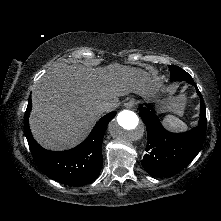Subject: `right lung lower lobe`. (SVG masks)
I'll return each mask as SVG.
<instances>
[{
    "label": "right lung lower lobe",
    "instance_id": "1",
    "mask_svg": "<svg viewBox=\"0 0 221 221\" xmlns=\"http://www.w3.org/2000/svg\"><path fill=\"white\" fill-rule=\"evenodd\" d=\"M31 96L24 117V130L33 158L49 178L70 186H83L94 181L102 168V141L108 123L116 112L103 116L89 136L77 147L61 152L42 148L33 138L29 128Z\"/></svg>",
    "mask_w": 221,
    "mask_h": 221
}]
</instances>
